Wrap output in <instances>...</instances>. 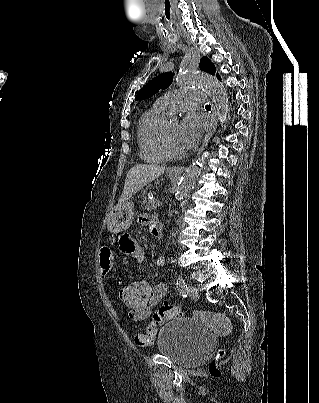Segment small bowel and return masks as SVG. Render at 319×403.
Wrapping results in <instances>:
<instances>
[{
  "label": "small bowel",
  "instance_id": "obj_1",
  "mask_svg": "<svg viewBox=\"0 0 319 403\" xmlns=\"http://www.w3.org/2000/svg\"><path fill=\"white\" fill-rule=\"evenodd\" d=\"M138 223L143 226H148L151 233L159 237L160 236V226L158 220L149 215L142 214L138 217ZM115 247L121 248V260L129 261L130 256L135 258L137 264H140L144 258L143 249L136 245L135 239L130 237V234H115ZM164 264V258L160 257L157 260V265L162 266ZM113 269V256L109 248L106 246L102 250H99V271L107 272ZM134 282H147L144 280L134 281ZM122 291L120 292V297L122 300ZM167 292V286L164 283H158L151 288L149 291V310L148 313H129L128 318L133 322H138L149 317L154 306H156ZM123 301V300H122ZM134 333V331H133Z\"/></svg>",
  "mask_w": 319,
  "mask_h": 403
}]
</instances>
